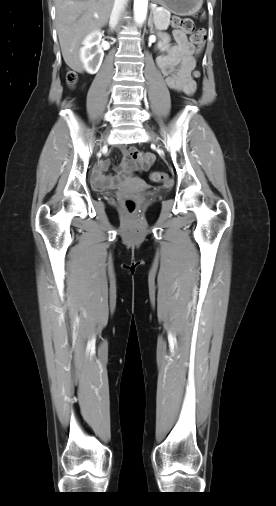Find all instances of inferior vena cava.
Returning <instances> with one entry per match:
<instances>
[{"label": "inferior vena cava", "mask_w": 276, "mask_h": 506, "mask_svg": "<svg viewBox=\"0 0 276 506\" xmlns=\"http://www.w3.org/2000/svg\"><path fill=\"white\" fill-rule=\"evenodd\" d=\"M126 2H127V0H114V5H113L112 13L110 16V22H109L111 28L116 27L118 20H119V16L122 13V11H124V9H125Z\"/></svg>", "instance_id": "inferior-vena-cava-1"}]
</instances>
